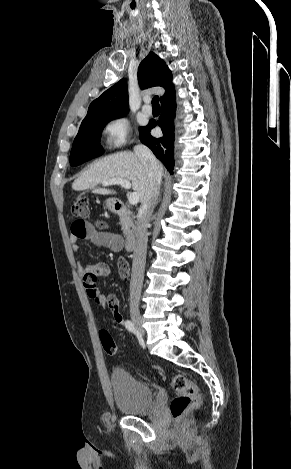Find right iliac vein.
<instances>
[{"mask_svg":"<svg viewBox=\"0 0 291 469\" xmlns=\"http://www.w3.org/2000/svg\"><path fill=\"white\" fill-rule=\"evenodd\" d=\"M130 316H131L133 324L135 325L139 333L144 335V329L142 328L141 316L139 313V309L136 306H132L130 308Z\"/></svg>","mask_w":291,"mask_h":469,"instance_id":"right-iliac-vein-1","label":"right iliac vein"}]
</instances>
